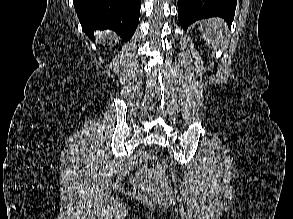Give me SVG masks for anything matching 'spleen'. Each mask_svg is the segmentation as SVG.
Segmentation results:
<instances>
[{"instance_id":"obj_1","label":"spleen","mask_w":293,"mask_h":219,"mask_svg":"<svg viewBox=\"0 0 293 219\" xmlns=\"http://www.w3.org/2000/svg\"><path fill=\"white\" fill-rule=\"evenodd\" d=\"M199 31L203 39L212 49H218L224 42L226 23L219 18H211L200 23Z\"/></svg>"}]
</instances>
